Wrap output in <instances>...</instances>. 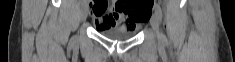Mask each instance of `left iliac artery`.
I'll return each mask as SVG.
<instances>
[{
  "label": "left iliac artery",
  "instance_id": "obj_1",
  "mask_svg": "<svg viewBox=\"0 0 235 62\" xmlns=\"http://www.w3.org/2000/svg\"><path fill=\"white\" fill-rule=\"evenodd\" d=\"M155 14L157 15L158 19L162 21L163 13L159 4L155 5ZM162 40L163 43L167 44V38L164 34H162Z\"/></svg>",
  "mask_w": 235,
  "mask_h": 62
}]
</instances>
